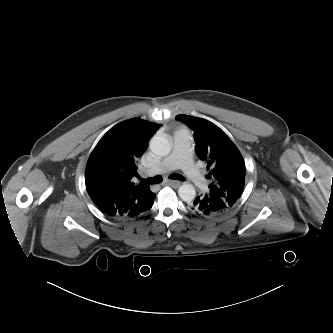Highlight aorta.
<instances>
[{
	"label": "aorta",
	"instance_id": "obj_1",
	"mask_svg": "<svg viewBox=\"0 0 333 333\" xmlns=\"http://www.w3.org/2000/svg\"><path fill=\"white\" fill-rule=\"evenodd\" d=\"M151 151L158 156H166L171 151V144L165 134H156L150 140ZM180 198L185 202H191L196 196L195 188L192 184L184 183L178 189Z\"/></svg>",
	"mask_w": 333,
	"mask_h": 333
}]
</instances>
